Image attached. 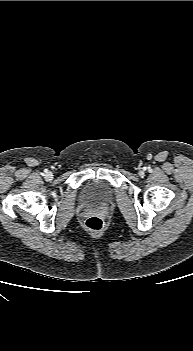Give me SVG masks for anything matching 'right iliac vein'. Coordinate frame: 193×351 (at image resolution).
Segmentation results:
<instances>
[{"label": "right iliac vein", "mask_w": 193, "mask_h": 351, "mask_svg": "<svg viewBox=\"0 0 193 351\" xmlns=\"http://www.w3.org/2000/svg\"><path fill=\"white\" fill-rule=\"evenodd\" d=\"M45 178L47 180H51L53 178V174L51 172H47L46 175H45Z\"/></svg>", "instance_id": "obj_1"}]
</instances>
